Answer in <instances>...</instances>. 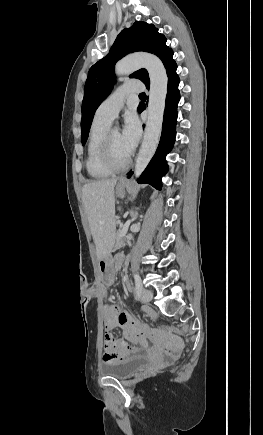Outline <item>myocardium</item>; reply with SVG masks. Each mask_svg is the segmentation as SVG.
Listing matches in <instances>:
<instances>
[{
    "mask_svg": "<svg viewBox=\"0 0 263 435\" xmlns=\"http://www.w3.org/2000/svg\"><path fill=\"white\" fill-rule=\"evenodd\" d=\"M112 131L113 130H108L102 139L100 147V160L107 169L111 170L112 172H119L126 169L130 165L132 160V154L130 153L126 160L122 163H118L115 161L111 148Z\"/></svg>",
    "mask_w": 263,
    "mask_h": 435,
    "instance_id": "myocardium-1",
    "label": "myocardium"
}]
</instances>
